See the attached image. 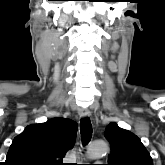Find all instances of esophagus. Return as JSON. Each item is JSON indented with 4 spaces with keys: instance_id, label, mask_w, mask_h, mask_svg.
Wrapping results in <instances>:
<instances>
[{
    "instance_id": "1",
    "label": "esophagus",
    "mask_w": 165,
    "mask_h": 165,
    "mask_svg": "<svg viewBox=\"0 0 165 165\" xmlns=\"http://www.w3.org/2000/svg\"><path fill=\"white\" fill-rule=\"evenodd\" d=\"M78 113L81 118H87V117H90L91 115L89 110L86 108H79Z\"/></svg>"
}]
</instances>
